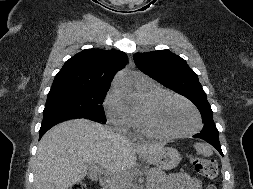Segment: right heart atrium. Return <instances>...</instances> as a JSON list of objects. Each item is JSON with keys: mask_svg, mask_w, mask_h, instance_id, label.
<instances>
[{"mask_svg": "<svg viewBox=\"0 0 253 189\" xmlns=\"http://www.w3.org/2000/svg\"><path fill=\"white\" fill-rule=\"evenodd\" d=\"M104 110L108 122L118 129L127 130L132 126L130 107L117 88L113 87L107 93Z\"/></svg>", "mask_w": 253, "mask_h": 189, "instance_id": "d8ad5b80", "label": "right heart atrium"}]
</instances>
